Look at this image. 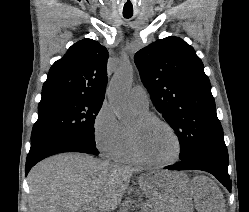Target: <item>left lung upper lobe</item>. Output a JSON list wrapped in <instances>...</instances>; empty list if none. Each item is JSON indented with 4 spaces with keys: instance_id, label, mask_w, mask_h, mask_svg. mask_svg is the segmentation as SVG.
Wrapping results in <instances>:
<instances>
[{
    "instance_id": "1",
    "label": "left lung upper lobe",
    "mask_w": 249,
    "mask_h": 212,
    "mask_svg": "<svg viewBox=\"0 0 249 212\" xmlns=\"http://www.w3.org/2000/svg\"><path fill=\"white\" fill-rule=\"evenodd\" d=\"M134 58L153 104L178 136L181 160L204 143L224 139L209 78L192 46L170 36Z\"/></svg>"
}]
</instances>
